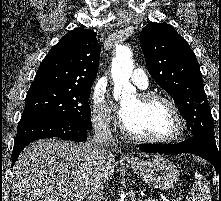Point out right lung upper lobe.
I'll return each mask as SVG.
<instances>
[{
	"label": "right lung upper lobe",
	"mask_w": 221,
	"mask_h": 201,
	"mask_svg": "<svg viewBox=\"0 0 221 201\" xmlns=\"http://www.w3.org/2000/svg\"><path fill=\"white\" fill-rule=\"evenodd\" d=\"M99 58L96 33L74 29L64 35L43 59L30 88L91 89Z\"/></svg>",
	"instance_id": "cb5924a9"
}]
</instances>
